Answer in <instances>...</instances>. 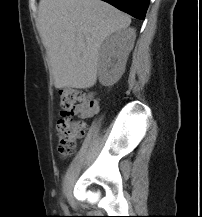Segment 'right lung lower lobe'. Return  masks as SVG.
<instances>
[{"mask_svg":"<svg viewBox=\"0 0 202 217\" xmlns=\"http://www.w3.org/2000/svg\"><path fill=\"white\" fill-rule=\"evenodd\" d=\"M116 8L143 20L150 0H103Z\"/></svg>","mask_w":202,"mask_h":217,"instance_id":"right-lung-lower-lobe-1","label":"right lung lower lobe"}]
</instances>
